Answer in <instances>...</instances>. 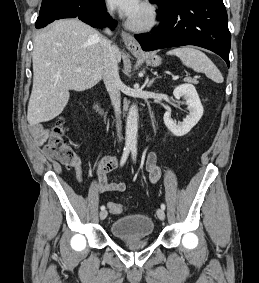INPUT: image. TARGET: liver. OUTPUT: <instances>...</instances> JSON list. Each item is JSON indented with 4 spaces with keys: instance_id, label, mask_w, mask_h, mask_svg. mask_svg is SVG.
<instances>
[{
    "instance_id": "obj_1",
    "label": "liver",
    "mask_w": 259,
    "mask_h": 283,
    "mask_svg": "<svg viewBox=\"0 0 259 283\" xmlns=\"http://www.w3.org/2000/svg\"><path fill=\"white\" fill-rule=\"evenodd\" d=\"M104 37L78 19L58 20L38 33L32 52L33 87L27 120L34 126L62 113L70 90L84 91L103 77ZM116 62L121 53L114 46ZM81 68L76 72V68Z\"/></svg>"
}]
</instances>
